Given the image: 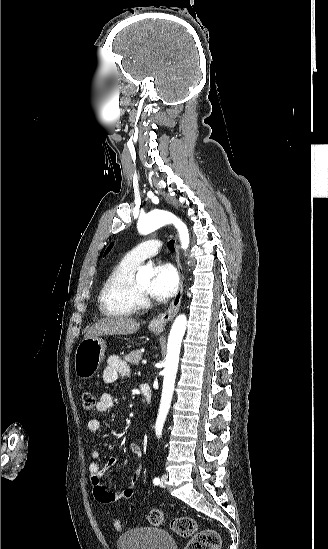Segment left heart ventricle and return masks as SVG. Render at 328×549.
<instances>
[{
  "label": "left heart ventricle",
  "instance_id": "b2bd125f",
  "mask_svg": "<svg viewBox=\"0 0 328 549\" xmlns=\"http://www.w3.org/2000/svg\"><path fill=\"white\" fill-rule=\"evenodd\" d=\"M152 270V268L150 267ZM135 282L138 287V289L145 295L149 296V289H150V282H151V276L150 275H142L139 277H135Z\"/></svg>",
  "mask_w": 328,
  "mask_h": 549
}]
</instances>
